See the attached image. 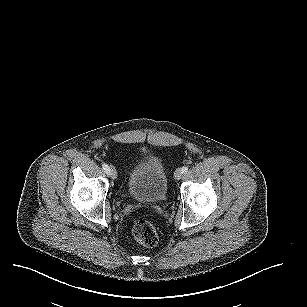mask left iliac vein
Returning a JSON list of instances; mask_svg holds the SVG:
<instances>
[{
    "label": "left iliac vein",
    "mask_w": 307,
    "mask_h": 307,
    "mask_svg": "<svg viewBox=\"0 0 307 307\" xmlns=\"http://www.w3.org/2000/svg\"><path fill=\"white\" fill-rule=\"evenodd\" d=\"M183 176V171L181 168H178L176 171H175V179L176 180H180Z\"/></svg>",
    "instance_id": "obj_1"
}]
</instances>
